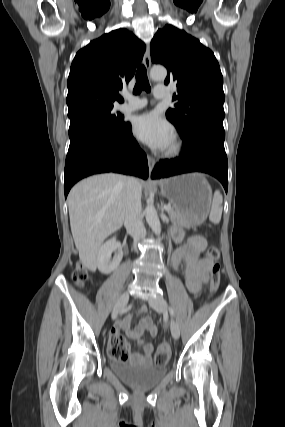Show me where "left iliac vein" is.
I'll list each match as a JSON object with an SVG mask.
<instances>
[{
	"instance_id": "4c4485c4",
	"label": "left iliac vein",
	"mask_w": 285,
	"mask_h": 427,
	"mask_svg": "<svg viewBox=\"0 0 285 427\" xmlns=\"http://www.w3.org/2000/svg\"><path fill=\"white\" fill-rule=\"evenodd\" d=\"M150 306L159 312L168 313V307L165 299L162 296H156L149 300ZM170 330L174 339H178L180 336V329L178 323L171 317L170 318Z\"/></svg>"
}]
</instances>
